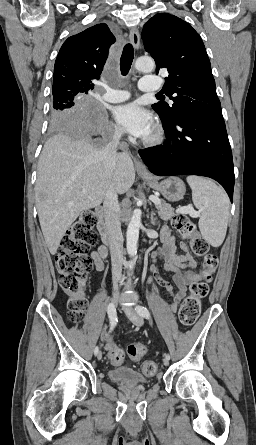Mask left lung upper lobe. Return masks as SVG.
<instances>
[{
  "instance_id": "1",
  "label": "left lung upper lobe",
  "mask_w": 256,
  "mask_h": 445,
  "mask_svg": "<svg viewBox=\"0 0 256 445\" xmlns=\"http://www.w3.org/2000/svg\"><path fill=\"white\" fill-rule=\"evenodd\" d=\"M142 39L156 62L157 73H167L164 90L174 104L152 105L162 121H170L186 109L222 113L205 46L191 25L159 13L145 23Z\"/></svg>"
}]
</instances>
